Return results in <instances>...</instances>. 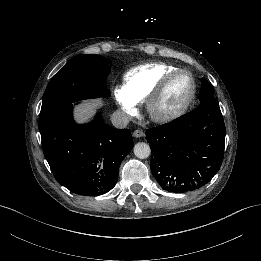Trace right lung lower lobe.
<instances>
[{
    "instance_id": "obj_1",
    "label": "right lung lower lobe",
    "mask_w": 261,
    "mask_h": 261,
    "mask_svg": "<svg viewBox=\"0 0 261 261\" xmlns=\"http://www.w3.org/2000/svg\"><path fill=\"white\" fill-rule=\"evenodd\" d=\"M39 131L54 177L82 196H98L111 190L118 180L120 163L133 147L129 129H115L100 115L88 124H76L72 103L42 110Z\"/></svg>"
}]
</instances>
